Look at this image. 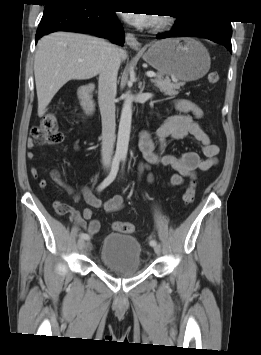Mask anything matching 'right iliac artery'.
<instances>
[{"label": "right iliac artery", "mask_w": 261, "mask_h": 355, "mask_svg": "<svg viewBox=\"0 0 261 355\" xmlns=\"http://www.w3.org/2000/svg\"><path fill=\"white\" fill-rule=\"evenodd\" d=\"M119 163H120V157L115 156L112 162V166H111V171L109 173V175L104 179V181L99 185L98 187V191H102L104 188H106L108 185H110L114 179L116 178V175L118 173L119 170ZM80 238L83 240H89L90 237L87 233H81Z\"/></svg>", "instance_id": "obj_1"}]
</instances>
